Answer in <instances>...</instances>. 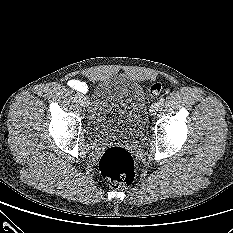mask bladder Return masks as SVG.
Masks as SVG:
<instances>
[{
    "label": "bladder",
    "instance_id": "1",
    "mask_svg": "<svg viewBox=\"0 0 233 233\" xmlns=\"http://www.w3.org/2000/svg\"><path fill=\"white\" fill-rule=\"evenodd\" d=\"M146 112L147 98L142 86L125 75H115L97 85L90 105L88 128L96 142L137 143L147 130Z\"/></svg>",
    "mask_w": 233,
    "mask_h": 233
}]
</instances>
